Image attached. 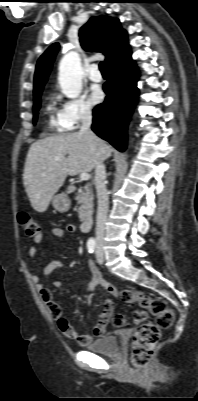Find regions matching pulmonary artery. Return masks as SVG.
<instances>
[{
	"label": "pulmonary artery",
	"mask_w": 198,
	"mask_h": 401,
	"mask_svg": "<svg viewBox=\"0 0 198 401\" xmlns=\"http://www.w3.org/2000/svg\"><path fill=\"white\" fill-rule=\"evenodd\" d=\"M89 79L94 83H99L102 81V74L99 70V66L97 64H92L89 72Z\"/></svg>",
	"instance_id": "1"
}]
</instances>
